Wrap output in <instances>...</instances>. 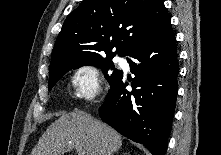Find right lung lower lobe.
<instances>
[{"instance_id": "right-lung-lower-lobe-1", "label": "right lung lower lobe", "mask_w": 221, "mask_h": 155, "mask_svg": "<svg viewBox=\"0 0 221 155\" xmlns=\"http://www.w3.org/2000/svg\"><path fill=\"white\" fill-rule=\"evenodd\" d=\"M131 92L123 73L111 89L99 114L127 138L146 146L152 155H165L178 91L176 38L171 23L144 36L128 54Z\"/></svg>"}]
</instances>
